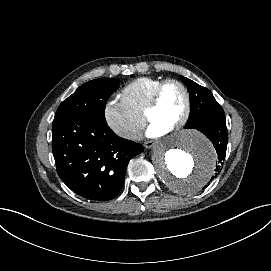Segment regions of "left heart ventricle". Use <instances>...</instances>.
Instances as JSON below:
<instances>
[{"label":"left heart ventricle","mask_w":271,"mask_h":271,"mask_svg":"<svg viewBox=\"0 0 271 271\" xmlns=\"http://www.w3.org/2000/svg\"><path fill=\"white\" fill-rule=\"evenodd\" d=\"M186 106V96L182 88L170 83L163 89L159 107L150 115V123L169 132L184 115Z\"/></svg>","instance_id":"1"}]
</instances>
